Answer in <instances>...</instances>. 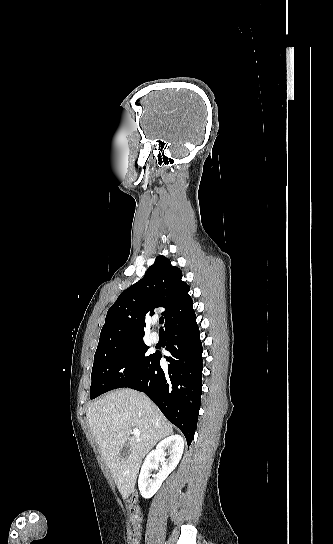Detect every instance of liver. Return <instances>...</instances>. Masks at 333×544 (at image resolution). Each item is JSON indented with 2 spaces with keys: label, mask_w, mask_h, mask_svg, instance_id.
Wrapping results in <instances>:
<instances>
[{
  "label": "liver",
  "mask_w": 333,
  "mask_h": 544,
  "mask_svg": "<svg viewBox=\"0 0 333 544\" xmlns=\"http://www.w3.org/2000/svg\"><path fill=\"white\" fill-rule=\"evenodd\" d=\"M87 420L122 497L133 491L143 457L162 438L172 434L171 425L144 394L128 388L109 392L92 403ZM132 428L139 438L130 437ZM128 441L130 453L120 458Z\"/></svg>",
  "instance_id": "obj_1"
}]
</instances>
